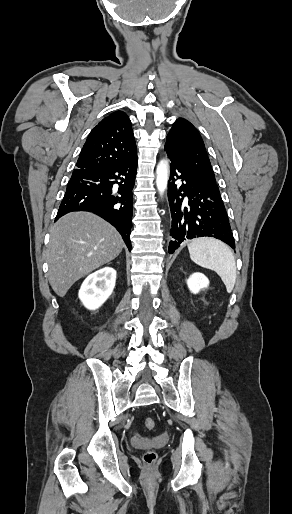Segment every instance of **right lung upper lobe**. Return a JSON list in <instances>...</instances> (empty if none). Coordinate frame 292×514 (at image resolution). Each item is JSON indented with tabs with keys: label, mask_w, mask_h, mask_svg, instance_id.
Wrapping results in <instances>:
<instances>
[{
	"label": "right lung upper lobe",
	"mask_w": 292,
	"mask_h": 514,
	"mask_svg": "<svg viewBox=\"0 0 292 514\" xmlns=\"http://www.w3.org/2000/svg\"><path fill=\"white\" fill-rule=\"evenodd\" d=\"M136 155L131 121L125 112L115 111L93 128L82 148L75 171L112 167Z\"/></svg>",
	"instance_id": "1"
}]
</instances>
